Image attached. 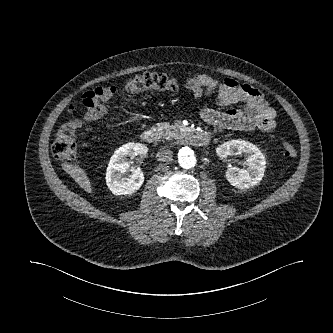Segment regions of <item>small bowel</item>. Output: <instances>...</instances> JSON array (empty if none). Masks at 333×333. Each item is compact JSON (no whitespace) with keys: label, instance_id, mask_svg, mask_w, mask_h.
I'll list each match as a JSON object with an SVG mask.
<instances>
[{"label":"small bowel","instance_id":"c3829d8e","mask_svg":"<svg viewBox=\"0 0 333 333\" xmlns=\"http://www.w3.org/2000/svg\"><path fill=\"white\" fill-rule=\"evenodd\" d=\"M185 87L194 98L202 94H214L219 105L229 106L242 102L244 109L229 108L221 111L214 108H205L201 112L202 120L217 130L225 128L236 130H261L268 132L275 126L276 113L264 99L263 94L256 88L239 83L233 78L216 80L213 77L197 73L187 79ZM75 111V105L68 108L69 113Z\"/></svg>","mask_w":333,"mask_h":333}]
</instances>
